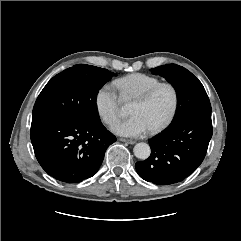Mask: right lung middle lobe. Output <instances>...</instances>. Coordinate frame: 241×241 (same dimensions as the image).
<instances>
[{
  "label": "right lung middle lobe",
  "instance_id": "right-lung-middle-lobe-1",
  "mask_svg": "<svg viewBox=\"0 0 241 241\" xmlns=\"http://www.w3.org/2000/svg\"><path fill=\"white\" fill-rule=\"evenodd\" d=\"M114 73L107 69L78 64L54 76L38 96L32 120L44 117H70L100 123L96 96Z\"/></svg>",
  "mask_w": 241,
  "mask_h": 241
}]
</instances>
